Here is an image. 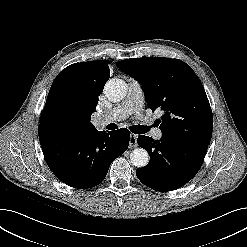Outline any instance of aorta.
Returning <instances> with one entry per match:
<instances>
[{"label":"aorta","instance_id":"obj_1","mask_svg":"<svg viewBox=\"0 0 247 247\" xmlns=\"http://www.w3.org/2000/svg\"><path fill=\"white\" fill-rule=\"evenodd\" d=\"M127 85L126 83L117 78H113L107 81L104 86V93L108 100L112 102H119L126 96ZM131 163L138 167H145L149 162V154L143 148H136L130 154Z\"/></svg>","mask_w":247,"mask_h":247}]
</instances>
